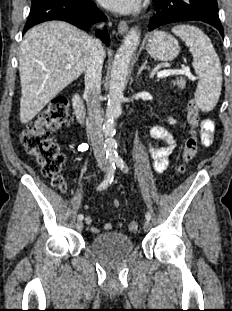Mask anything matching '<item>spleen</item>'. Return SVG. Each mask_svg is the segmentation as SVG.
Instances as JSON below:
<instances>
[{"mask_svg":"<svg viewBox=\"0 0 232 311\" xmlns=\"http://www.w3.org/2000/svg\"><path fill=\"white\" fill-rule=\"evenodd\" d=\"M172 32L179 36L193 55L192 66L199 77L195 101L203 112L211 111L217 104L222 87V69L219 57L209 37L190 25H177Z\"/></svg>","mask_w":232,"mask_h":311,"instance_id":"3e777b00","label":"spleen"}]
</instances>
